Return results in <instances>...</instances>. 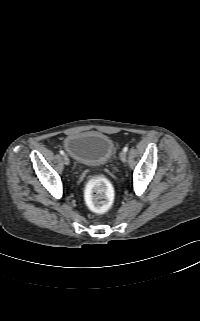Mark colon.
Wrapping results in <instances>:
<instances>
[{"instance_id": "colon-1", "label": "colon", "mask_w": 200, "mask_h": 321, "mask_svg": "<svg viewBox=\"0 0 200 321\" xmlns=\"http://www.w3.org/2000/svg\"><path fill=\"white\" fill-rule=\"evenodd\" d=\"M86 200L93 212L99 214L105 213L113 204V188L105 179L94 178L86 187Z\"/></svg>"}]
</instances>
